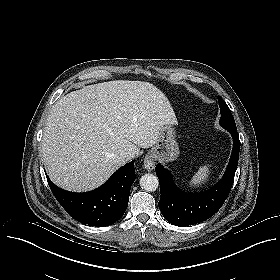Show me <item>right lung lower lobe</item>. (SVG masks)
<instances>
[{
	"label": "right lung lower lobe",
	"mask_w": 280,
	"mask_h": 280,
	"mask_svg": "<svg viewBox=\"0 0 280 280\" xmlns=\"http://www.w3.org/2000/svg\"><path fill=\"white\" fill-rule=\"evenodd\" d=\"M47 180L57 201L74 219L91 226H109L123 216L128 206L135 181L134 160L119 168L102 186L86 193L69 192Z\"/></svg>",
	"instance_id": "1"
}]
</instances>
